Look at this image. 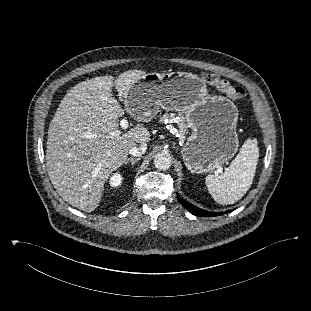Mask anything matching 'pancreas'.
Listing matches in <instances>:
<instances>
[{
    "label": "pancreas",
    "instance_id": "1",
    "mask_svg": "<svg viewBox=\"0 0 311 311\" xmlns=\"http://www.w3.org/2000/svg\"><path fill=\"white\" fill-rule=\"evenodd\" d=\"M165 120H167L170 123L177 122V125L179 127L180 139L185 140L186 134L188 133V127L185 123L183 115L179 114V116L176 117V114H174V113H171V114L165 113L162 116H160L159 121L164 122Z\"/></svg>",
    "mask_w": 311,
    "mask_h": 311
}]
</instances>
